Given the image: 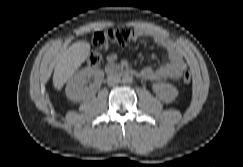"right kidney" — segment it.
Wrapping results in <instances>:
<instances>
[{"label": "right kidney", "mask_w": 243, "mask_h": 167, "mask_svg": "<svg viewBox=\"0 0 243 167\" xmlns=\"http://www.w3.org/2000/svg\"><path fill=\"white\" fill-rule=\"evenodd\" d=\"M104 73L101 70L85 68L76 73L66 86L68 99L79 102L92 96L101 86ZM93 79V83H91Z\"/></svg>", "instance_id": "right-kidney-1"}]
</instances>
